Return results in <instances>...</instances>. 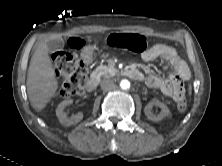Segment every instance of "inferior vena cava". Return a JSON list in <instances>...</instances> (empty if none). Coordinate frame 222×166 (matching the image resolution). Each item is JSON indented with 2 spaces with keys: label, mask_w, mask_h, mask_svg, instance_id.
<instances>
[{
  "label": "inferior vena cava",
  "mask_w": 222,
  "mask_h": 166,
  "mask_svg": "<svg viewBox=\"0 0 222 166\" xmlns=\"http://www.w3.org/2000/svg\"><path fill=\"white\" fill-rule=\"evenodd\" d=\"M101 89L105 91H110L116 88V85L114 84L113 80L111 79H104L100 83Z\"/></svg>",
  "instance_id": "602c4592"
}]
</instances>
